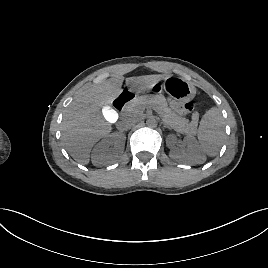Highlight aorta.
Segmentation results:
<instances>
[{
  "label": "aorta",
  "mask_w": 268,
  "mask_h": 268,
  "mask_svg": "<svg viewBox=\"0 0 268 268\" xmlns=\"http://www.w3.org/2000/svg\"><path fill=\"white\" fill-rule=\"evenodd\" d=\"M146 125L149 128H156L158 125V122L156 120V118L154 116H150L147 120H146Z\"/></svg>",
  "instance_id": "aorta-1"
}]
</instances>
